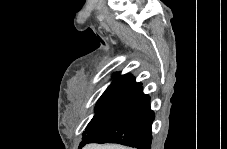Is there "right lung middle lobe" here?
I'll return each instance as SVG.
<instances>
[{
  "label": "right lung middle lobe",
  "mask_w": 227,
  "mask_h": 149,
  "mask_svg": "<svg viewBox=\"0 0 227 149\" xmlns=\"http://www.w3.org/2000/svg\"><path fill=\"white\" fill-rule=\"evenodd\" d=\"M140 90L127 88H108L99 98L95 115L83 134L79 147L86 144L87 137L100 126L118 117L138 96Z\"/></svg>",
  "instance_id": "obj_1"
}]
</instances>
